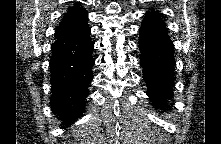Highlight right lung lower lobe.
Returning a JSON list of instances; mask_svg holds the SVG:
<instances>
[{
  "label": "right lung lower lobe",
  "instance_id": "obj_1",
  "mask_svg": "<svg viewBox=\"0 0 221 144\" xmlns=\"http://www.w3.org/2000/svg\"><path fill=\"white\" fill-rule=\"evenodd\" d=\"M90 32L86 23L56 38L52 44L50 105L53 113L65 125L72 123L85 111L94 65V45L89 37Z\"/></svg>",
  "mask_w": 221,
  "mask_h": 144
}]
</instances>
